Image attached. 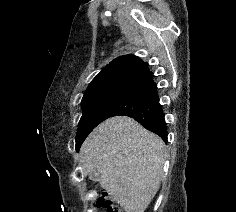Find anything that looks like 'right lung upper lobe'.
I'll return each instance as SVG.
<instances>
[{
	"label": "right lung upper lobe",
	"instance_id": "cb5924a9",
	"mask_svg": "<svg viewBox=\"0 0 236 212\" xmlns=\"http://www.w3.org/2000/svg\"><path fill=\"white\" fill-rule=\"evenodd\" d=\"M150 74L148 64L139 57L132 54L117 57L93 79L83 99L114 91L132 90Z\"/></svg>",
	"mask_w": 236,
	"mask_h": 212
}]
</instances>
